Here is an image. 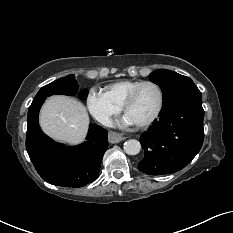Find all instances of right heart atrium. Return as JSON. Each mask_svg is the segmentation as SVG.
<instances>
[{
	"label": "right heart atrium",
	"instance_id": "obj_1",
	"mask_svg": "<svg viewBox=\"0 0 233 233\" xmlns=\"http://www.w3.org/2000/svg\"><path fill=\"white\" fill-rule=\"evenodd\" d=\"M86 103L91 115L104 125L121 111V106L113 102L105 92L95 88L89 90Z\"/></svg>",
	"mask_w": 233,
	"mask_h": 233
}]
</instances>
